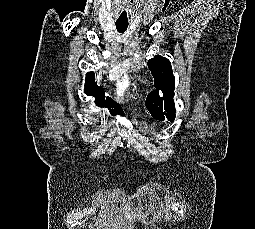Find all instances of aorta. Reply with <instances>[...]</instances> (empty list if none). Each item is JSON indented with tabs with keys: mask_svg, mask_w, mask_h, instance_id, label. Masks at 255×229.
I'll list each match as a JSON object with an SVG mask.
<instances>
[{
	"mask_svg": "<svg viewBox=\"0 0 255 229\" xmlns=\"http://www.w3.org/2000/svg\"><path fill=\"white\" fill-rule=\"evenodd\" d=\"M128 86H129V82L127 79H123L121 82H118L117 89H116V94L118 99L123 97Z\"/></svg>",
	"mask_w": 255,
	"mask_h": 229,
	"instance_id": "762f6f07",
	"label": "aorta"
}]
</instances>
